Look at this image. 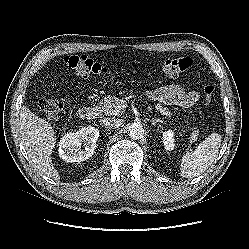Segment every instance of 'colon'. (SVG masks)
Segmentation results:
<instances>
[{
  "label": "colon",
  "instance_id": "obj_1",
  "mask_svg": "<svg viewBox=\"0 0 249 249\" xmlns=\"http://www.w3.org/2000/svg\"><path fill=\"white\" fill-rule=\"evenodd\" d=\"M65 64L70 67L77 75L83 78L108 74L111 69L104 66L87 55H67L64 58ZM192 65V59L189 57H169L160 65L161 72L167 77H176L189 69ZM215 92V85L206 84L203 88V100L206 104L212 101ZM39 106L45 116L50 120L58 118L63 109L62 101L58 99H41Z\"/></svg>",
  "mask_w": 249,
  "mask_h": 249
}]
</instances>
